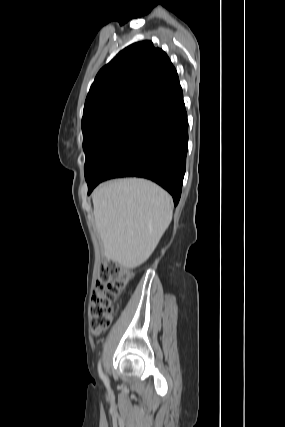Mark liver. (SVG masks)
Here are the masks:
<instances>
[{"label":"liver","instance_id":"1","mask_svg":"<svg viewBox=\"0 0 285 427\" xmlns=\"http://www.w3.org/2000/svg\"><path fill=\"white\" fill-rule=\"evenodd\" d=\"M96 229L108 260L137 267L152 254L173 215L171 196L145 179L105 182L92 194Z\"/></svg>","mask_w":285,"mask_h":427}]
</instances>
